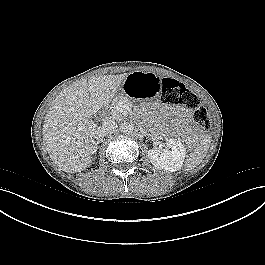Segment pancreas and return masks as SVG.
<instances>
[{"instance_id": "pancreas-1", "label": "pancreas", "mask_w": 265, "mask_h": 265, "mask_svg": "<svg viewBox=\"0 0 265 265\" xmlns=\"http://www.w3.org/2000/svg\"><path fill=\"white\" fill-rule=\"evenodd\" d=\"M119 104L132 106V103L127 96L121 95V96L115 97L111 105V115H112L111 118L113 120H121L123 118L121 112L117 109V106Z\"/></svg>"}]
</instances>
